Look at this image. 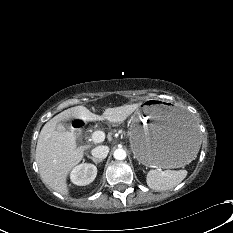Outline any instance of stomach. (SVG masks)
<instances>
[{
    "mask_svg": "<svg viewBox=\"0 0 233 233\" xmlns=\"http://www.w3.org/2000/svg\"><path fill=\"white\" fill-rule=\"evenodd\" d=\"M135 158L150 167L178 168L200 148V134L191 115L172 102L148 101L130 119Z\"/></svg>",
    "mask_w": 233,
    "mask_h": 233,
    "instance_id": "1",
    "label": "stomach"
}]
</instances>
